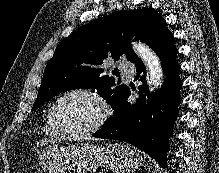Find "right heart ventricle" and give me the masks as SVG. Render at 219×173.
Instances as JSON below:
<instances>
[{
    "mask_svg": "<svg viewBox=\"0 0 219 173\" xmlns=\"http://www.w3.org/2000/svg\"><path fill=\"white\" fill-rule=\"evenodd\" d=\"M44 131L46 134H48L50 136H60L61 135L51 122L50 109L48 110V113L46 116Z\"/></svg>",
    "mask_w": 219,
    "mask_h": 173,
    "instance_id": "obj_1",
    "label": "right heart ventricle"
}]
</instances>
